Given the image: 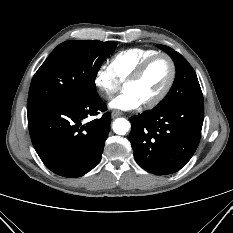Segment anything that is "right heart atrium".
<instances>
[{"label": "right heart atrium", "mask_w": 233, "mask_h": 233, "mask_svg": "<svg viewBox=\"0 0 233 233\" xmlns=\"http://www.w3.org/2000/svg\"><path fill=\"white\" fill-rule=\"evenodd\" d=\"M95 86L104 99H110L120 89L121 83L114 77L108 67H101L94 77Z\"/></svg>", "instance_id": "right-heart-atrium-1"}]
</instances>
